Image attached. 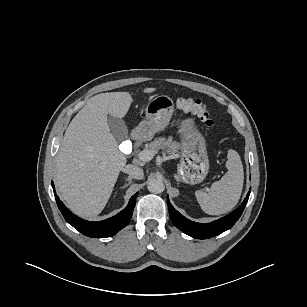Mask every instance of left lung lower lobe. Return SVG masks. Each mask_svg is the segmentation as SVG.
Here are the masks:
<instances>
[{
  "mask_svg": "<svg viewBox=\"0 0 307 307\" xmlns=\"http://www.w3.org/2000/svg\"><path fill=\"white\" fill-rule=\"evenodd\" d=\"M249 195L250 192H248L244 202L232 213L207 224L196 223L182 216L173 208L167 197L168 210L171 220L181 231L193 238L206 239L223 233L236 223L245 208Z\"/></svg>",
  "mask_w": 307,
  "mask_h": 307,
  "instance_id": "0a47b994",
  "label": "left lung lower lobe"
}]
</instances>
